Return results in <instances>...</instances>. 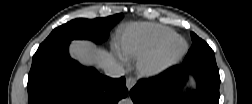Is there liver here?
<instances>
[{
  "instance_id": "obj_1",
  "label": "liver",
  "mask_w": 252,
  "mask_h": 104,
  "mask_svg": "<svg viewBox=\"0 0 252 104\" xmlns=\"http://www.w3.org/2000/svg\"><path fill=\"white\" fill-rule=\"evenodd\" d=\"M70 53L73 58L81 63L85 65L95 64L99 68H104V66L115 62L111 53L86 41H74L71 44Z\"/></svg>"
}]
</instances>
